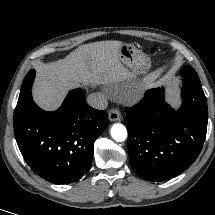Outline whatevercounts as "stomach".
<instances>
[{
  "mask_svg": "<svg viewBox=\"0 0 215 215\" xmlns=\"http://www.w3.org/2000/svg\"><path fill=\"white\" fill-rule=\"evenodd\" d=\"M119 59L134 75L145 74L151 68L150 58L130 44L119 49Z\"/></svg>",
  "mask_w": 215,
  "mask_h": 215,
  "instance_id": "1",
  "label": "stomach"
}]
</instances>
